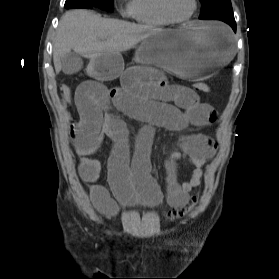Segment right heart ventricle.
Segmentation results:
<instances>
[{
  "label": "right heart ventricle",
  "mask_w": 279,
  "mask_h": 279,
  "mask_svg": "<svg viewBox=\"0 0 279 279\" xmlns=\"http://www.w3.org/2000/svg\"><path fill=\"white\" fill-rule=\"evenodd\" d=\"M132 17L147 26H167L171 22L160 12L158 0H133Z\"/></svg>",
  "instance_id": "obj_1"
}]
</instances>
